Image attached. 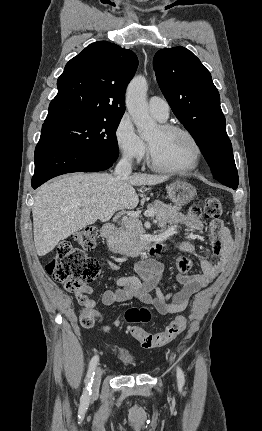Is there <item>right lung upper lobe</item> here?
Returning a JSON list of instances; mask_svg holds the SVG:
<instances>
[{
    "label": "right lung upper lobe",
    "mask_w": 262,
    "mask_h": 431,
    "mask_svg": "<svg viewBox=\"0 0 262 431\" xmlns=\"http://www.w3.org/2000/svg\"><path fill=\"white\" fill-rule=\"evenodd\" d=\"M137 65V56L131 50L106 41L90 44L66 64L43 125L122 117L125 89Z\"/></svg>",
    "instance_id": "right-lung-upper-lobe-1"
}]
</instances>
